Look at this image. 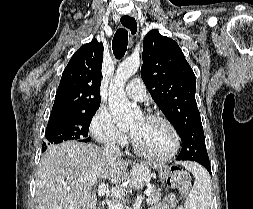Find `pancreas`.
I'll list each match as a JSON object with an SVG mask.
<instances>
[{"label":"pancreas","instance_id":"pancreas-1","mask_svg":"<svg viewBox=\"0 0 253 209\" xmlns=\"http://www.w3.org/2000/svg\"><path fill=\"white\" fill-rule=\"evenodd\" d=\"M163 195L162 190L160 188L152 187L151 194L148 196L147 203L149 205H154L160 202L161 196Z\"/></svg>","mask_w":253,"mask_h":209}]
</instances>
